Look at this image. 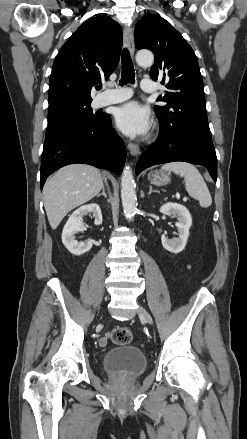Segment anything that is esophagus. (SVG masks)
<instances>
[{
  "label": "esophagus",
  "instance_id": "esophagus-1",
  "mask_svg": "<svg viewBox=\"0 0 247 439\" xmlns=\"http://www.w3.org/2000/svg\"><path fill=\"white\" fill-rule=\"evenodd\" d=\"M123 39L126 48L129 50L130 54H134V35L133 29L130 26H125L123 29ZM128 149L133 156H137L140 153V148L137 144L128 143Z\"/></svg>",
  "mask_w": 247,
  "mask_h": 439
}]
</instances>
